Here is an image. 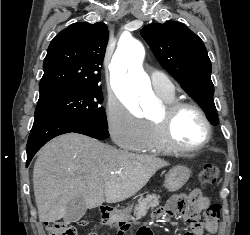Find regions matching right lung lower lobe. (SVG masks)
I'll use <instances>...</instances> for the list:
<instances>
[{"label":"right lung lower lobe","mask_w":250,"mask_h":235,"mask_svg":"<svg viewBox=\"0 0 250 235\" xmlns=\"http://www.w3.org/2000/svg\"><path fill=\"white\" fill-rule=\"evenodd\" d=\"M69 132L81 133L96 139H106L109 136L107 128L82 120L62 116L36 117L27 142L26 166L46 142Z\"/></svg>","instance_id":"obj_1"}]
</instances>
